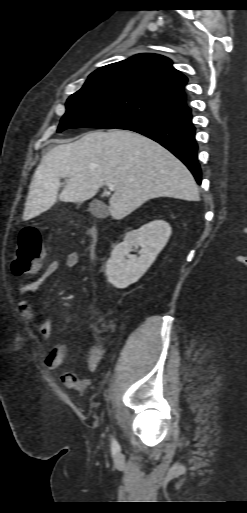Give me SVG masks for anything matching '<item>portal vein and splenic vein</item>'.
<instances>
[{"label": "portal vein and splenic vein", "mask_w": 247, "mask_h": 513, "mask_svg": "<svg viewBox=\"0 0 247 513\" xmlns=\"http://www.w3.org/2000/svg\"><path fill=\"white\" fill-rule=\"evenodd\" d=\"M107 187H108L109 190H114L115 189V185L112 184V183H108Z\"/></svg>", "instance_id": "1"}]
</instances>
